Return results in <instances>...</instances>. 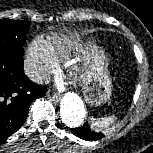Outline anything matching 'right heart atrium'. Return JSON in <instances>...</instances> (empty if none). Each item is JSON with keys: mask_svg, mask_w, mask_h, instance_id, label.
<instances>
[{"mask_svg": "<svg viewBox=\"0 0 153 153\" xmlns=\"http://www.w3.org/2000/svg\"><path fill=\"white\" fill-rule=\"evenodd\" d=\"M24 67L33 81L43 83L55 72L57 61L49 51L47 44L42 39L35 38L26 49Z\"/></svg>", "mask_w": 153, "mask_h": 153, "instance_id": "obj_1", "label": "right heart atrium"}]
</instances>
